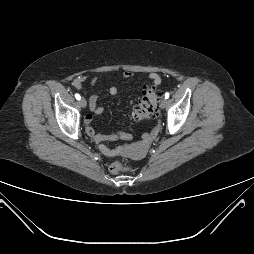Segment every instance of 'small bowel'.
<instances>
[{"label": "small bowel", "mask_w": 254, "mask_h": 254, "mask_svg": "<svg viewBox=\"0 0 254 254\" xmlns=\"http://www.w3.org/2000/svg\"><path fill=\"white\" fill-rule=\"evenodd\" d=\"M133 76V73L131 71H124L122 72L123 78H131ZM149 79L154 83V85H159L161 82V78L157 73H150L148 75ZM88 79L89 83L91 85H95L99 81V77L97 76H81L74 80L73 85L77 89H82L83 85L82 83ZM109 93L111 95H116L118 93V88L116 86H111L109 88ZM89 106H90V113H87L84 118V123L86 126V133L89 137H91L95 142L100 143V150L108 155V156H115L118 155L121 152V149H110L105 144H103L104 141L112 140L115 138H126L125 134L119 131L114 132L112 135H104L95 130L93 127V119L94 116H99L103 112V108L98 106V96L92 95L89 99ZM149 141V136L146 135L143 137V140L139 146H137L135 149H142L144 146L147 145Z\"/></svg>", "instance_id": "small-bowel-1"}]
</instances>
